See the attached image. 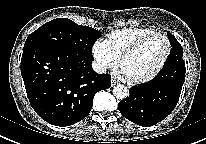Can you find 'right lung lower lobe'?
I'll return each instance as SVG.
<instances>
[{
	"label": "right lung lower lobe",
	"mask_w": 206,
	"mask_h": 144,
	"mask_svg": "<svg viewBox=\"0 0 206 144\" xmlns=\"http://www.w3.org/2000/svg\"><path fill=\"white\" fill-rule=\"evenodd\" d=\"M92 58L53 46L23 49L21 75L31 106L46 122L73 125L88 116L94 95L110 87V76L91 67Z\"/></svg>",
	"instance_id": "1"
}]
</instances>
